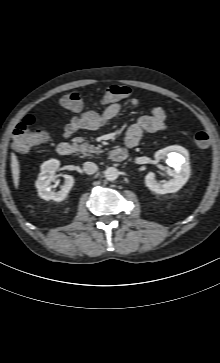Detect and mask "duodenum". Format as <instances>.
Here are the masks:
<instances>
[{
	"label": "duodenum",
	"instance_id": "obj_1",
	"mask_svg": "<svg viewBox=\"0 0 220 363\" xmlns=\"http://www.w3.org/2000/svg\"><path fill=\"white\" fill-rule=\"evenodd\" d=\"M57 153L60 156H71L75 152L74 146L69 142H61L57 146ZM127 158V150L124 148H115L110 152V159L113 162H122Z\"/></svg>",
	"mask_w": 220,
	"mask_h": 363
}]
</instances>
